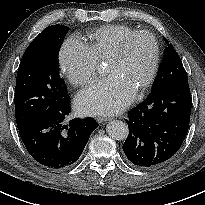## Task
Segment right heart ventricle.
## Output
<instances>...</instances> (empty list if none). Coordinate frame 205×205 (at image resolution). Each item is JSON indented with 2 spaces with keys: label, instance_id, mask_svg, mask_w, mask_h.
Returning a JSON list of instances; mask_svg holds the SVG:
<instances>
[{
  "label": "right heart ventricle",
  "instance_id": "right-heart-ventricle-1",
  "mask_svg": "<svg viewBox=\"0 0 205 205\" xmlns=\"http://www.w3.org/2000/svg\"><path fill=\"white\" fill-rule=\"evenodd\" d=\"M135 31V29L121 24L101 27L89 35L88 47L99 62H108L125 37Z\"/></svg>",
  "mask_w": 205,
  "mask_h": 205
}]
</instances>
